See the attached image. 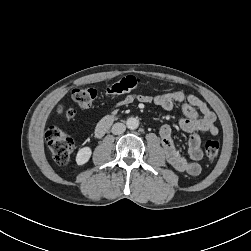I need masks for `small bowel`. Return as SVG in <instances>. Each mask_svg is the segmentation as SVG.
<instances>
[{
  "label": "small bowel",
  "instance_id": "small-bowel-1",
  "mask_svg": "<svg viewBox=\"0 0 251 251\" xmlns=\"http://www.w3.org/2000/svg\"><path fill=\"white\" fill-rule=\"evenodd\" d=\"M135 101L152 103L167 111L172 110L175 104L181 105L182 116L178 121V125L183 131L190 134L188 140L189 159L175 145L172 137V129L169 125H163L160 128L161 143L167 161L177 171L191 176L200 174L201 165L199 161L203 157L200 133L218 134L214 112L196 95L183 91H173L157 95H129L119 101L117 106H126Z\"/></svg>",
  "mask_w": 251,
  "mask_h": 251
}]
</instances>
